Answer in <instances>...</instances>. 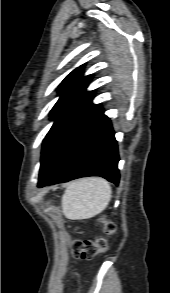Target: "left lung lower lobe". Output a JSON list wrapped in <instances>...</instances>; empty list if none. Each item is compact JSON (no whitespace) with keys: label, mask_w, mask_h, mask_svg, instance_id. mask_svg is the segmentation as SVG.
I'll return each instance as SVG.
<instances>
[{"label":"left lung lower lobe","mask_w":170,"mask_h":293,"mask_svg":"<svg viewBox=\"0 0 170 293\" xmlns=\"http://www.w3.org/2000/svg\"><path fill=\"white\" fill-rule=\"evenodd\" d=\"M117 142L102 108L72 137L51 166L39 175L38 187L80 177L101 176L118 185Z\"/></svg>","instance_id":"0a47b994"}]
</instances>
